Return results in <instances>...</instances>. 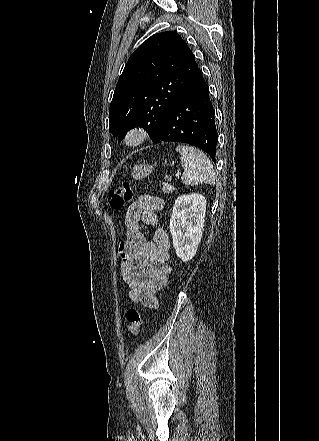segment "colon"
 Returning a JSON list of instances; mask_svg holds the SVG:
<instances>
[{"label": "colon", "mask_w": 319, "mask_h": 441, "mask_svg": "<svg viewBox=\"0 0 319 441\" xmlns=\"http://www.w3.org/2000/svg\"><path fill=\"white\" fill-rule=\"evenodd\" d=\"M132 198V185L128 181L124 182L121 187L109 191L110 206L114 211H120ZM126 317L128 321L127 335L130 338L136 337L142 326L141 313L136 308H130L127 311Z\"/></svg>", "instance_id": "colon-1"}]
</instances>
